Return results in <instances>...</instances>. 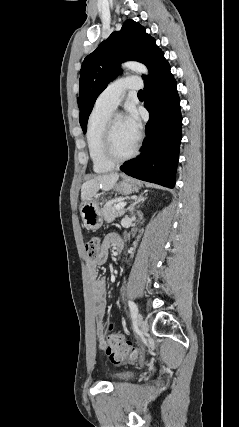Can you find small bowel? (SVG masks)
Here are the masks:
<instances>
[{
	"instance_id": "c3829d8e",
	"label": "small bowel",
	"mask_w": 239,
	"mask_h": 427,
	"mask_svg": "<svg viewBox=\"0 0 239 427\" xmlns=\"http://www.w3.org/2000/svg\"><path fill=\"white\" fill-rule=\"evenodd\" d=\"M119 239L116 234H109L103 240L102 246L94 259L86 261L87 274L90 285V304L95 317L98 344L101 348H105L106 342L103 332V315L106 306L105 299V281L98 276L97 268L104 264L108 259V249L112 246H117Z\"/></svg>"
}]
</instances>
